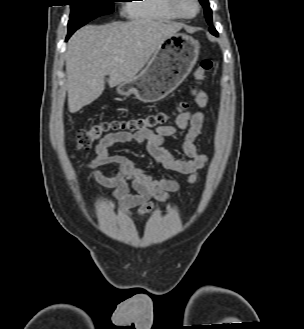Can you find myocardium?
Wrapping results in <instances>:
<instances>
[{"label": "myocardium", "instance_id": "obj_1", "mask_svg": "<svg viewBox=\"0 0 304 329\" xmlns=\"http://www.w3.org/2000/svg\"><path fill=\"white\" fill-rule=\"evenodd\" d=\"M195 5V12L193 14H186L182 11L180 6V0H167V4L172 12L177 15L179 18L192 19L198 15L200 12L201 6L198 0H192Z\"/></svg>", "mask_w": 304, "mask_h": 329}]
</instances>
